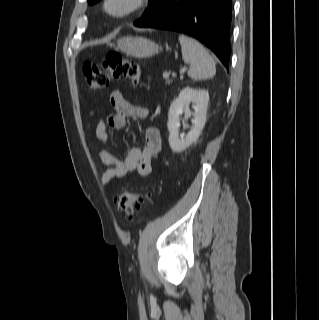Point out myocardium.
<instances>
[{"label":"myocardium","mask_w":319,"mask_h":320,"mask_svg":"<svg viewBox=\"0 0 319 320\" xmlns=\"http://www.w3.org/2000/svg\"><path fill=\"white\" fill-rule=\"evenodd\" d=\"M117 2L123 5L120 8H115L114 4ZM151 2V0H104L103 11L111 19L124 20L147 10Z\"/></svg>","instance_id":"obj_1"}]
</instances>
